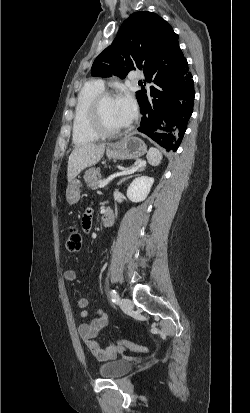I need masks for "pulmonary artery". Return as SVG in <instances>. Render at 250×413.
<instances>
[{"label": "pulmonary artery", "mask_w": 250, "mask_h": 413, "mask_svg": "<svg viewBox=\"0 0 250 413\" xmlns=\"http://www.w3.org/2000/svg\"><path fill=\"white\" fill-rule=\"evenodd\" d=\"M134 78L138 80V79H144L145 77L143 73L137 72L135 73ZM96 83L100 85L101 87H104V82L102 80H98L96 81Z\"/></svg>", "instance_id": "e3ab8cb5"}]
</instances>
